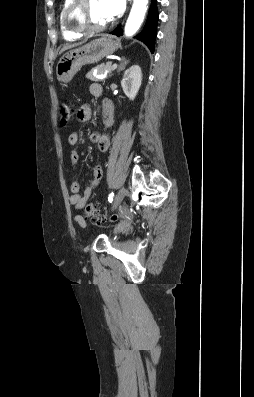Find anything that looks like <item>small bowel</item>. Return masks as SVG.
Returning a JSON list of instances; mask_svg holds the SVG:
<instances>
[{"label":"small bowel","instance_id":"1","mask_svg":"<svg viewBox=\"0 0 254 397\" xmlns=\"http://www.w3.org/2000/svg\"><path fill=\"white\" fill-rule=\"evenodd\" d=\"M90 93L94 97H101L103 94V88L99 83H92L89 87ZM92 111L91 107L88 104L82 105L77 113V120L79 123L84 124L87 123L91 119ZM102 117H103V130L101 132H94L91 134V141L97 145L98 150L101 153H105L108 151L110 147V140L108 135L106 134V130L110 128L114 121V108L113 104L110 100L105 99L103 101L102 106ZM68 142L71 146H76L80 142V135L77 132L70 133L68 137ZM79 159V155L77 151L73 150L70 156L71 165H75ZM103 170L101 165H96L93 168L91 178L89 183L84 188L83 192L80 193V184L77 181H72L70 185L71 195L69 197L70 203L74 206L75 209H82L94 189L99 185V182L102 178ZM75 222L79 224L81 227H85L86 223L83 217L76 216ZM130 228V224L128 222H123L119 224L116 231H128Z\"/></svg>","mask_w":254,"mask_h":397}]
</instances>
